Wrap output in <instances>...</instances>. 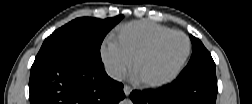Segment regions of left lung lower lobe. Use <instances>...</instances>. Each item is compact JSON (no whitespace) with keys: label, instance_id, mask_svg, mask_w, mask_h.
I'll list each match as a JSON object with an SVG mask.
<instances>
[{"label":"left lung lower lobe","instance_id":"1","mask_svg":"<svg viewBox=\"0 0 252 104\" xmlns=\"http://www.w3.org/2000/svg\"><path fill=\"white\" fill-rule=\"evenodd\" d=\"M215 71L178 76L172 83L152 91H133V102L156 104H215L217 97Z\"/></svg>","mask_w":252,"mask_h":104}]
</instances>
